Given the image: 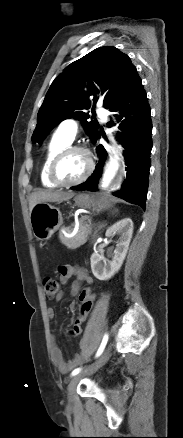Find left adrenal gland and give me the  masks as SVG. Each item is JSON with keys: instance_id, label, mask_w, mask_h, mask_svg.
Listing matches in <instances>:
<instances>
[{"instance_id": "1", "label": "left adrenal gland", "mask_w": 183, "mask_h": 438, "mask_svg": "<svg viewBox=\"0 0 183 438\" xmlns=\"http://www.w3.org/2000/svg\"><path fill=\"white\" fill-rule=\"evenodd\" d=\"M105 226V224L104 223H98L97 224V228L95 229V232H94V236L97 234V232L99 231V230H101L103 227Z\"/></svg>"}]
</instances>
